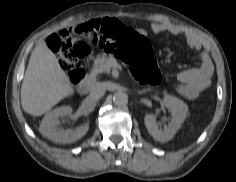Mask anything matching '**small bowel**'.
<instances>
[{
	"mask_svg": "<svg viewBox=\"0 0 236 182\" xmlns=\"http://www.w3.org/2000/svg\"><path fill=\"white\" fill-rule=\"evenodd\" d=\"M151 30L155 34L170 33L182 35L189 49L194 50L200 59L198 67L182 70L177 75V91L187 100H195L210 86L213 74V65L207 51L203 48L201 39L193 33L187 32L181 27L169 23H153Z\"/></svg>",
	"mask_w": 236,
	"mask_h": 182,
	"instance_id": "small-bowel-1",
	"label": "small bowel"
}]
</instances>
